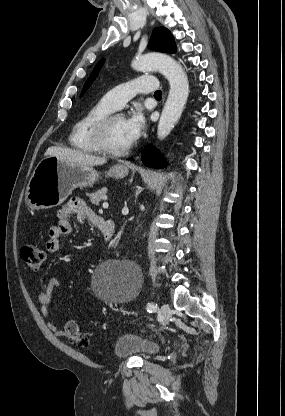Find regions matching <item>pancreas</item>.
<instances>
[{
  "label": "pancreas",
  "mask_w": 285,
  "mask_h": 416,
  "mask_svg": "<svg viewBox=\"0 0 285 416\" xmlns=\"http://www.w3.org/2000/svg\"><path fill=\"white\" fill-rule=\"evenodd\" d=\"M106 194L107 188H102V190H98V192H94V194H86V196H89L92 204L99 206V202H101L103 196H106Z\"/></svg>",
  "instance_id": "1"
}]
</instances>
